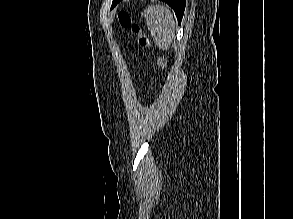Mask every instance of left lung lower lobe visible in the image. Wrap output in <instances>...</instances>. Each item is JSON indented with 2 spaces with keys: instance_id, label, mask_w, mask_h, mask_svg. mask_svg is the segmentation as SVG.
I'll return each mask as SVG.
<instances>
[{
  "instance_id": "0a47b994",
  "label": "left lung lower lobe",
  "mask_w": 293,
  "mask_h": 219,
  "mask_svg": "<svg viewBox=\"0 0 293 219\" xmlns=\"http://www.w3.org/2000/svg\"><path fill=\"white\" fill-rule=\"evenodd\" d=\"M161 1L166 2L171 8H173L177 16L178 23H180L184 14L185 0H161ZM119 2L120 0H117L115 3H113L111 9L115 7L117 3Z\"/></svg>"
}]
</instances>
